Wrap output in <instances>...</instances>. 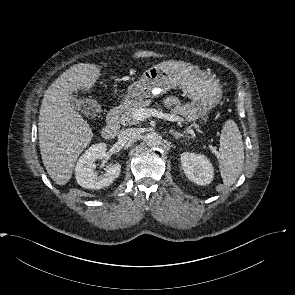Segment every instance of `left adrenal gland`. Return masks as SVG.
I'll list each match as a JSON object with an SVG mask.
<instances>
[{"mask_svg": "<svg viewBox=\"0 0 295 295\" xmlns=\"http://www.w3.org/2000/svg\"><path fill=\"white\" fill-rule=\"evenodd\" d=\"M170 133L176 138V139H180L181 137H186V138H190V136L185 135L183 133L177 132L173 129L170 130Z\"/></svg>", "mask_w": 295, "mask_h": 295, "instance_id": "left-adrenal-gland-1", "label": "left adrenal gland"}]
</instances>
